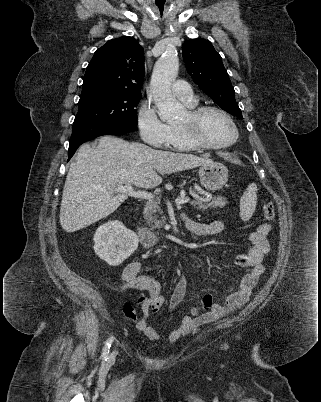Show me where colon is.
I'll use <instances>...</instances> for the list:
<instances>
[{
  "label": "colon",
  "instance_id": "5ec220e1",
  "mask_svg": "<svg viewBox=\"0 0 321 402\" xmlns=\"http://www.w3.org/2000/svg\"><path fill=\"white\" fill-rule=\"evenodd\" d=\"M263 214L266 220H273L274 216H275V210H274V206L271 202H267L265 203L264 207H263ZM210 305L209 302H205L204 304V308H208ZM124 313L127 317L130 318H134L135 317V311L133 309V307L130 304H125L124 305Z\"/></svg>",
  "mask_w": 321,
  "mask_h": 402
}]
</instances>
